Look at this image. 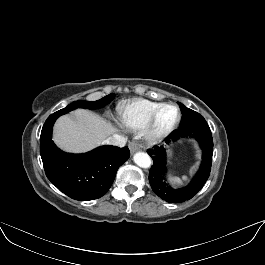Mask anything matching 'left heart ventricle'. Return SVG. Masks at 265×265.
<instances>
[{"label": "left heart ventricle", "mask_w": 265, "mask_h": 265, "mask_svg": "<svg viewBox=\"0 0 265 265\" xmlns=\"http://www.w3.org/2000/svg\"><path fill=\"white\" fill-rule=\"evenodd\" d=\"M177 111L174 107H166L159 114L156 122V127L159 130L170 126L176 119Z\"/></svg>", "instance_id": "1"}]
</instances>
